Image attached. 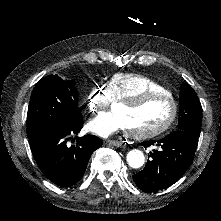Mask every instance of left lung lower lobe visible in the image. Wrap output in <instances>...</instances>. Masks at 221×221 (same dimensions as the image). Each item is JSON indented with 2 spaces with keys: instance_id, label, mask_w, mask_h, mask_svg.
I'll list each match as a JSON object with an SVG mask.
<instances>
[{
  "instance_id": "obj_1",
  "label": "left lung lower lobe",
  "mask_w": 221,
  "mask_h": 221,
  "mask_svg": "<svg viewBox=\"0 0 221 221\" xmlns=\"http://www.w3.org/2000/svg\"><path fill=\"white\" fill-rule=\"evenodd\" d=\"M198 138L186 131L176 130L157 141L161 149L150 153L145 168L133 175L136 185L144 192L165 189L178 181L191 165L198 144ZM156 141L142 142L144 147Z\"/></svg>"
}]
</instances>
